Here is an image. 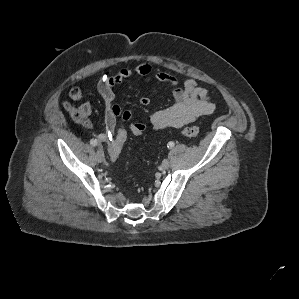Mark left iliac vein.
I'll list each match as a JSON object with an SVG mask.
<instances>
[{
  "label": "left iliac vein",
  "mask_w": 299,
  "mask_h": 299,
  "mask_svg": "<svg viewBox=\"0 0 299 299\" xmlns=\"http://www.w3.org/2000/svg\"><path fill=\"white\" fill-rule=\"evenodd\" d=\"M169 166H170V162H169V160H168V159H164V160L162 161V163H161V168H162L163 170H166V169L169 168Z\"/></svg>",
  "instance_id": "1"
}]
</instances>
